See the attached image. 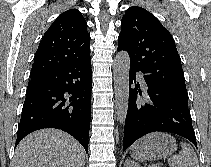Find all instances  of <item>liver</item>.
I'll return each mask as SVG.
<instances>
[{"label":"liver","instance_id":"liver-1","mask_svg":"<svg viewBox=\"0 0 211 167\" xmlns=\"http://www.w3.org/2000/svg\"><path fill=\"white\" fill-rule=\"evenodd\" d=\"M84 161V148L72 136L43 129L18 144L11 167H81Z\"/></svg>","mask_w":211,"mask_h":167}]
</instances>
